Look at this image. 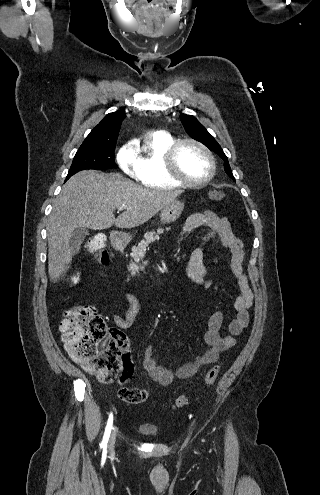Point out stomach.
Listing matches in <instances>:
<instances>
[{
	"instance_id": "obj_1",
	"label": "stomach",
	"mask_w": 320,
	"mask_h": 495,
	"mask_svg": "<svg viewBox=\"0 0 320 495\" xmlns=\"http://www.w3.org/2000/svg\"><path fill=\"white\" fill-rule=\"evenodd\" d=\"M183 209H184L183 202L177 200L172 201L171 203H169L168 205L162 208L160 213L161 223L162 224L173 223L180 217ZM129 240H130V236L128 234L123 233L120 235L118 242L120 244H126L129 242Z\"/></svg>"
}]
</instances>
